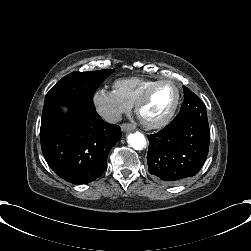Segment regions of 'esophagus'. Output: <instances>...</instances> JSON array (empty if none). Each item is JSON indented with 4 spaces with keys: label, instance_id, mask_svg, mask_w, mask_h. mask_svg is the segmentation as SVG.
I'll list each match as a JSON object with an SVG mask.
<instances>
[{
    "label": "esophagus",
    "instance_id": "esophagus-1",
    "mask_svg": "<svg viewBox=\"0 0 251 251\" xmlns=\"http://www.w3.org/2000/svg\"><path fill=\"white\" fill-rule=\"evenodd\" d=\"M135 126L132 123L124 122L121 124V129L123 132H128L130 130H133Z\"/></svg>",
    "mask_w": 251,
    "mask_h": 251
}]
</instances>
